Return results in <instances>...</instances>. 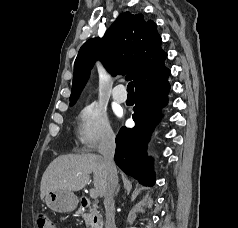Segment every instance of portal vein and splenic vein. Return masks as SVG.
<instances>
[{"instance_id":"portal-vein-and-splenic-vein-1","label":"portal vein and splenic vein","mask_w":238,"mask_h":228,"mask_svg":"<svg viewBox=\"0 0 238 228\" xmlns=\"http://www.w3.org/2000/svg\"><path fill=\"white\" fill-rule=\"evenodd\" d=\"M90 197L96 199L98 197V191L96 189H90Z\"/></svg>"}]
</instances>
